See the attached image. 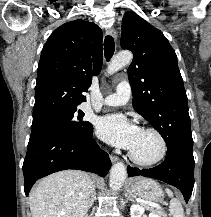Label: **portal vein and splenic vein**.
<instances>
[{"label":"portal vein and splenic vein","instance_id":"1","mask_svg":"<svg viewBox=\"0 0 211 217\" xmlns=\"http://www.w3.org/2000/svg\"><path fill=\"white\" fill-rule=\"evenodd\" d=\"M146 204H147L148 206H151V207L156 208V209H162V207H161L160 205L155 204V203L149 202V203H146Z\"/></svg>","mask_w":211,"mask_h":217}]
</instances>
